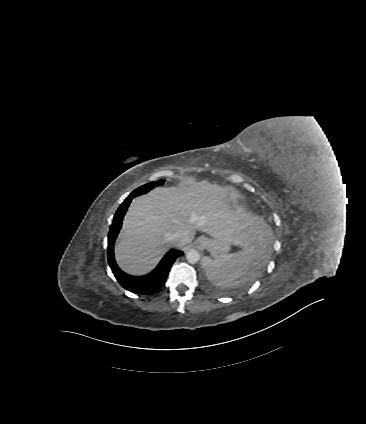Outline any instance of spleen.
Returning a JSON list of instances; mask_svg holds the SVG:
<instances>
[{
    "mask_svg": "<svg viewBox=\"0 0 366 424\" xmlns=\"http://www.w3.org/2000/svg\"><path fill=\"white\" fill-rule=\"evenodd\" d=\"M264 257V250L257 245L217 259L206 258L204 269L208 279L221 288L239 287L256 275Z\"/></svg>",
    "mask_w": 366,
    "mask_h": 424,
    "instance_id": "1",
    "label": "spleen"
}]
</instances>
